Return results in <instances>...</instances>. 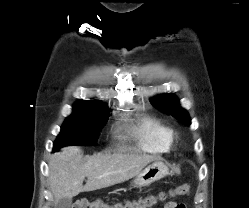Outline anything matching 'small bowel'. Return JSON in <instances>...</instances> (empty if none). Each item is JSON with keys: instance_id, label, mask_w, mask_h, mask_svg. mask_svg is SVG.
I'll use <instances>...</instances> for the list:
<instances>
[{"instance_id": "1", "label": "small bowel", "mask_w": 249, "mask_h": 208, "mask_svg": "<svg viewBox=\"0 0 249 208\" xmlns=\"http://www.w3.org/2000/svg\"><path fill=\"white\" fill-rule=\"evenodd\" d=\"M181 203H177L175 201H169L165 204L164 208H180Z\"/></svg>"}]
</instances>
